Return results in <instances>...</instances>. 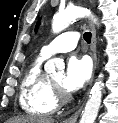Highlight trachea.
<instances>
[{"label":"trachea","instance_id":"3493384b","mask_svg":"<svg viewBox=\"0 0 118 123\" xmlns=\"http://www.w3.org/2000/svg\"><path fill=\"white\" fill-rule=\"evenodd\" d=\"M84 40H85L87 43H90V42H91V33H90V32H85V33H84Z\"/></svg>","mask_w":118,"mask_h":123}]
</instances>
